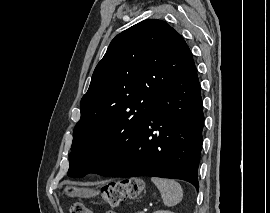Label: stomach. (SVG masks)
Listing matches in <instances>:
<instances>
[{
  "label": "stomach",
  "instance_id": "obj_1",
  "mask_svg": "<svg viewBox=\"0 0 270 213\" xmlns=\"http://www.w3.org/2000/svg\"><path fill=\"white\" fill-rule=\"evenodd\" d=\"M64 192L69 197H84V198L96 196L99 193V191L93 189L78 188L72 184H68L64 188Z\"/></svg>",
  "mask_w": 270,
  "mask_h": 213
}]
</instances>
